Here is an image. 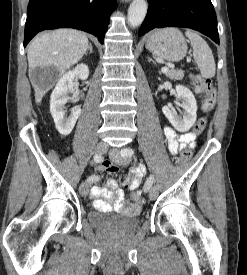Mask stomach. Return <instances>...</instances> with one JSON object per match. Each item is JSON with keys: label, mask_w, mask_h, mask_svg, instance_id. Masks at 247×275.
<instances>
[{"label": "stomach", "mask_w": 247, "mask_h": 275, "mask_svg": "<svg viewBox=\"0 0 247 275\" xmlns=\"http://www.w3.org/2000/svg\"><path fill=\"white\" fill-rule=\"evenodd\" d=\"M146 48L156 57L175 62L185 57L187 42L178 29L166 28L151 35Z\"/></svg>", "instance_id": "stomach-1"}]
</instances>
